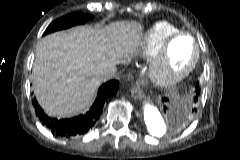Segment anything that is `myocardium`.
Instances as JSON below:
<instances>
[{
    "label": "myocardium",
    "mask_w": 240,
    "mask_h": 160,
    "mask_svg": "<svg viewBox=\"0 0 240 160\" xmlns=\"http://www.w3.org/2000/svg\"><path fill=\"white\" fill-rule=\"evenodd\" d=\"M189 38L193 45V55L185 67L179 70H168V56L173 42L179 38ZM200 46L196 38L187 33L179 31L171 35L161 46L158 53L149 60L147 76L149 80L160 87L172 86L186 78L197 66L200 58Z\"/></svg>",
    "instance_id": "1"
}]
</instances>
